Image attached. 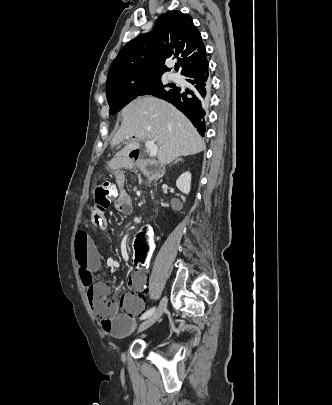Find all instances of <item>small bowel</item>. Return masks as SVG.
Wrapping results in <instances>:
<instances>
[{
    "label": "small bowel",
    "mask_w": 332,
    "mask_h": 405,
    "mask_svg": "<svg viewBox=\"0 0 332 405\" xmlns=\"http://www.w3.org/2000/svg\"><path fill=\"white\" fill-rule=\"evenodd\" d=\"M123 164L127 167H132V161L129 158L123 160ZM116 180H125V171L115 172ZM119 197H115L112 204L113 211H117L123 215H130L133 211V198L125 191L118 192ZM90 217H101L100 223H95L99 228L105 225V219L102 215L101 208H90ZM74 254L77 262L78 272L80 276L79 285L90 287L94 272L99 267V253L93 239L83 230H79L75 236ZM130 252L126 251L123 258L126 262L130 261ZM112 263L114 261L112 260ZM147 284V274L142 269H138L128 279L130 293L125 295L123 301V309L125 313L118 316L102 319L103 330L115 338H121L129 334L135 326V318L138 317L145 308V301L142 297Z\"/></svg>",
    "instance_id": "small-bowel-1"
}]
</instances>
